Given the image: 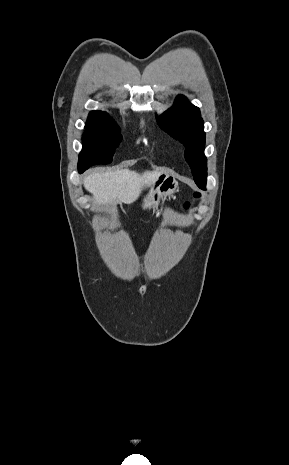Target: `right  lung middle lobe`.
<instances>
[{
    "label": "right lung middle lobe",
    "mask_w": 289,
    "mask_h": 465,
    "mask_svg": "<svg viewBox=\"0 0 289 465\" xmlns=\"http://www.w3.org/2000/svg\"><path fill=\"white\" fill-rule=\"evenodd\" d=\"M83 134V149L79 154L78 168L111 163L114 149L122 140L120 129L114 121L107 127H86Z\"/></svg>",
    "instance_id": "obj_1"
}]
</instances>
